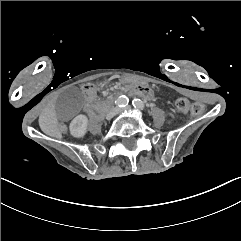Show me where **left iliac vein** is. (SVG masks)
<instances>
[{"label":"left iliac vein","mask_w":241,"mask_h":241,"mask_svg":"<svg viewBox=\"0 0 241 241\" xmlns=\"http://www.w3.org/2000/svg\"><path fill=\"white\" fill-rule=\"evenodd\" d=\"M130 110H132V107L131 106H127L124 109H122L121 111H130Z\"/></svg>","instance_id":"4c4485c4"}]
</instances>
